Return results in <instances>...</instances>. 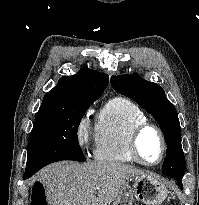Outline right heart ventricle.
<instances>
[{
	"label": "right heart ventricle",
	"mask_w": 199,
	"mask_h": 205,
	"mask_svg": "<svg viewBox=\"0 0 199 205\" xmlns=\"http://www.w3.org/2000/svg\"><path fill=\"white\" fill-rule=\"evenodd\" d=\"M147 122L145 113L132 101L115 97L102 108L95 130V158L115 164L136 161L129 153L128 141L137 125Z\"/></svg>",
	"instance_id": "e07e8e85"
}]
</instances>
